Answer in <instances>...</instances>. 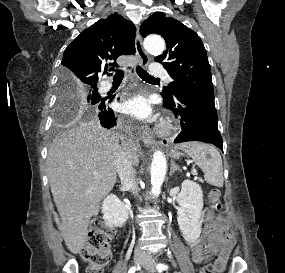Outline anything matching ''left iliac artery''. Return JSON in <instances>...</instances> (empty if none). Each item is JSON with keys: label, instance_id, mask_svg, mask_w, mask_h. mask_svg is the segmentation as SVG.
<instances>
[{"label": "left iliac artery", "instance_id": "44dca946", "mask_svg": "<svg viewBox=\"0 0 285 273\" xmlns=\"http://www.w3.org/2000/svg\"><path fill=\"white\" fill-rule=\"evenodd\" d=\"M156 268H157L158 272H162L164 270H168L169 267L166 264L159 263L156 265Z\"/></svg>", "mask_w": 285, "mask_h": 273}]
</instances>
